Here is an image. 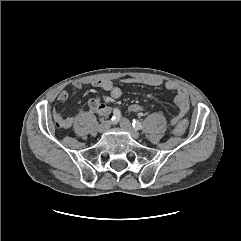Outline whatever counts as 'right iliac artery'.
I'll return each instance as SVG.
<instances>
[{"label":"right iliac artery","instance_id":"82829eb1","mask_svg":"<svg viewBox=\"0 0 241 241\" xmlns=\"http://www.w3.org/2000/svg\"><path fill=\"white\" fill-rule=\"evenodd\" d=\"M121 113L118 109H113V115L111 117L112 123H116L120 119Z\"/></svg>","mask_w":241,"mask_h":241}]
</instances>
